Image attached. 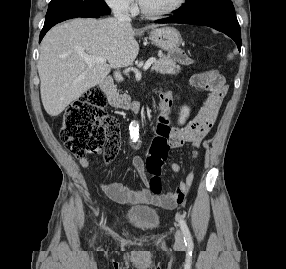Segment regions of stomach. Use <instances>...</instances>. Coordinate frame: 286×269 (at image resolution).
Returning <instances> with one entry per match:
<instances>
[{
	"label": "stomach",
	"mask_w": 286,
	"mask_h": 269,
	"mask_svg": "<svg viewBox=\"0 0 286 269\" xmlns=\"http://www.w3.org/2000/svg\"><path fill=\"white\" fill-rule=\"evenodd\" d=\"M149 37L152 43L162 50L179 49L182 42L179 31L174 27L153 29Z\"/></svg>",
	"instance_id": "0dacf381"
}]
</instances>
